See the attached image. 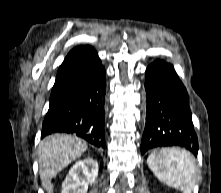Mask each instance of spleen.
I'll return each mask as SVG.
<instances>
[{
	"label": "spleen",
	"mask_w": 221,
	"mask_h": 193,
	"mask_svg": "<svg viewBox=\"0 0 221 193\" xmlns=\"http://www.w3.org/2000/svg\"><path fill=\"white\" fill-rule=\"evenodd\" d=\"M147 163L160 181L183 193H191L196 167L192 156L187 151L163 148L152 152Z\"/></svg>",
	"instance_id": "1"
}]
</instances>
